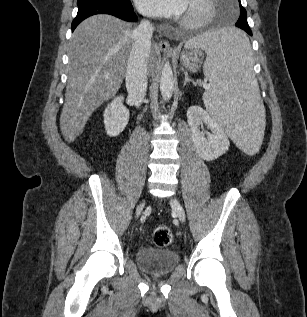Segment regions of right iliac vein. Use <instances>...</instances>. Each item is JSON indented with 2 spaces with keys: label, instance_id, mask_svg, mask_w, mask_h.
<instances>
[{
  "label": "right iliac vein",
  "instance_id": "right-iliac-vein-1",
  "mask_svg": "<svg viewBox=\"0 0 307 317\" xmlns=\"http://www.w3.org/2000/svg\"><path fill=\"white\" fill-rule=\"evenodd\" d=\"M142 208H143V204H142V205H140V206L138 207V209H137V215H139V214H140V212H141Z\"/></svg>",
  "mask_w": 307,
  "mask_h": 317
}]
</instances>
